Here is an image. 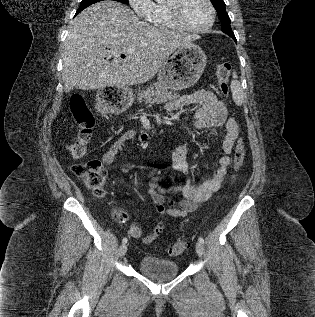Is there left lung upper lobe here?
I'll list each match as a JSON object with an SVG mask.
<instances>
[{"label":"left lung upper lobe","instance_id":"5c2ea615","mask_svg":"<svg viewBox=\"0 0 315 317\" xmlns=\"http://www.w3.org/2000/svg\"><path fill=\"white\" fill-rule=\"evenodd\" d=\"M218 13V17L222 22V31L230 37L235 36L230 27V18L225 10V3L223 0H210Z\"/></svg>","mask_w":315,"mask_h":317}]
</instances>
